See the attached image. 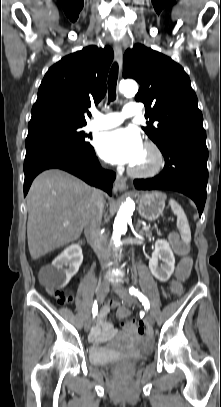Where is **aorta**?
Returning a JSON list of instances; mask_svg holds the SVG:
<instances>
[{
  "label": "aorta",
  "instance_id": "762f6f07",
  "mask_svg": "<svg viewBox=\"0 0 221 407\" xmlns=\"http://www.w3.org/2000/svg\"><path fill=\"white\" fill-rule=\"evenodd\" d=\"M121 93L126 95H135L138 91V85L133 80L122 81L119 85ZM135 208V203L131 198H126V201L121 205L113 225V241L116 247L121 244V235L127 231V223L131 220Z\"/></svg>",
  "mask_w": 221,
  "mask_h": 407
}]
</instances>
